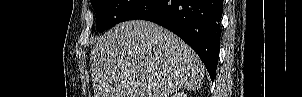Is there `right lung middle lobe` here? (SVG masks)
Returning <instances> with one entry per match:
<instances>
[{
  "label": "right lung middle lobe",
  "mask_w": 302,
  "mask_h": 97,
  "mask_svg": "<svg viewBox=\"0 0 302 97\" xmlns=\"http://www.w3.org/2000/svg\"><path fill=\"white\" fill-rule=\"evenodd\" d=\"M96 12V30L102 32L119 22L141 0H90Z\"/></svg>",
  "instance_id": "1"
}]
</instances>
